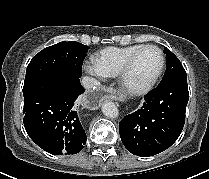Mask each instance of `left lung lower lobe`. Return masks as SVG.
Here are the masks:
<instances>
[{"label":"left lung lower lobe","instance_id":"1","mask_svg":"<svg viewBox=\"0 0 209 179\" xmlns=\"http://www.w3.org/2000/svg\"><path fill=\"white\" fill-rule=\"evenodd\" d=\"M144 99L141 109L120 121L119 132L132 154L148 157L169 148L181 134L189 99L187 78L158 85Z\"/></svg>","mask_w":209,"mask_h":179}]
</instances>
